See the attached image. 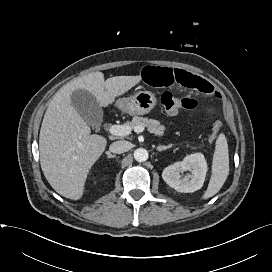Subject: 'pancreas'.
<instances>
[{"instance_id": "cf45deb5", "label": "pancreas", "mask_w": 272, "mask_h": 272, "mask_svg": "<svg viewBox=\"0 0 272 272\" xmlns=\"http://www.w3.org/2000/svg\"><path fill=\"white\" fill-rule=\"evenodd\" d=\"M130 125L133 128L136 126L146 127L149 132L154 133L157 136H162L165 131V126H163L159 121L143 117L135 116L130 122Z\"/></svg>"}]
</instances>
